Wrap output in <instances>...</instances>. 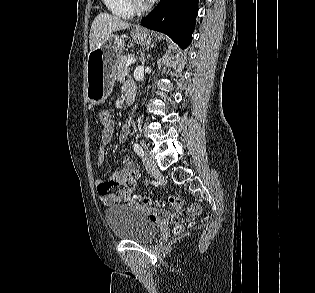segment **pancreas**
Returning <instances> with one entry per match:
<instances>
[{"instance_id":"1","label":"pancreas","mask_w":315,"mask_h":293,"mask_svg":"<svg viewBox=\"0 0 315 293\" xmlns=\"http://www.w3.org/2000/svg\"><path fill=\"white\" fill-rule=\"evenodd\" d=\"M128 57L121 56L118 60L117 79L120 83L124 82L125 77L129 76V66H126Z\"/></svg>"}]
</instances>
